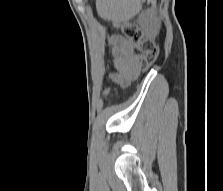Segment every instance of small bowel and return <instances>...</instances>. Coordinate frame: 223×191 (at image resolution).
I'll use <instances>...</instances> for the list:
<instances>
[{"label":"small bowel","mask_w":223,"mask_h":191,"mask_svg":"<svg viewBox=\"0 0 223 191\" xmlns=\"http://www.w3.org/2000/svg\"><path fill=\"white\" fill-rule=\"evenodd\" d=\"M113 54V64L116 72L111 75L113 81L126 86L129 81L139 74V65L142 55L135 50L131 42L121 36L114 35L110 39ZM110 93L106 91V95Z\"/></svg>","instance_id":"obj_1"}]
</instances>
